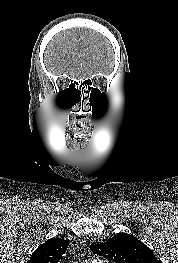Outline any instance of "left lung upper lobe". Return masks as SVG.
Wrapping results in <instances>:
<instances>
[{
  "instance_id": "5c2ea615",
  "label": "left lung upper lobe",
  "mask_w": 178,
  "mask_h": 263,
  "mask_svg": "<svg viewBox=\"0 0 178 263\" xmlns=\"http://www.w3.org/2000/svg\"><path fill=\"white\" fill-rule=\"evenodd\" d=\"M94 254L116 263H162L153 252L137 238L119 233L103 243L90 245Z\"/></svg>"
}]
</instances>
